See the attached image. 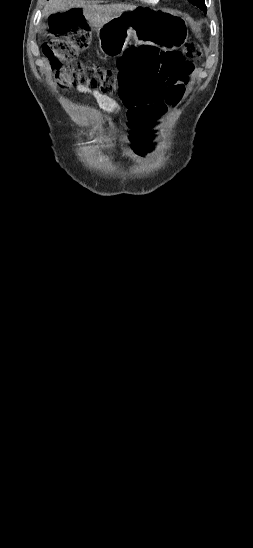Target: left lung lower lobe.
Segmentation results:
<instances>
[{"label": "left lung lower lobe", "mask_w": 253, "mask_h": 548, "mask_svg": "<svg viewBox=\"0 0 253 548\" xmlns=\"http://www.w3.org/2000/svg\"><path fill=\"white\" fill-rule=\"evenodd\" d=\"M196 6L199 7L200 9L206 11V6H205V5H204V6H198V5H196Z\"/></svg>", "instance_id": "0a47b994"}]
</instances>
